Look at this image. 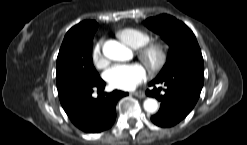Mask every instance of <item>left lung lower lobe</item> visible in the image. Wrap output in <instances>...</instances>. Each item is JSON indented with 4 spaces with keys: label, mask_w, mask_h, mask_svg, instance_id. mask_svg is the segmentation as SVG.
Here are the masks:
<instances>
[{
    "label": "left lung lower lobe",
    "mask_w": 247,
    "mask_h": 145,
    "mask_svg": "<svg viewBox=\"0 0 247 145\" xmlns=\"http://www.w3.org/2000/svg\"><path fill=\"white\" fill-rule=\"evenodd\" d=\"M165 84L166 89L154 87L146 94L161 102L160 110L151 117L154 124L171 127L183 120L195 106L204 83V75L191 72H176L162 78H155L149 83Z\"/></svg>",
    "instance_id": "left-lung-lower-lobe-1"
}]
</instances>
